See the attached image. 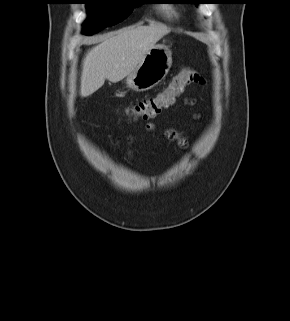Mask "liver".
<instances>
[{
	"instance_id": "1",
	"label": "liver",
	"mask_w": 290,
	"mask_h": 321,
	"mask_svg": "<svg viewBox=\"0 0 290 321\" xmlns=\"http://www.w3.org/2000/svg\"><path fill=\"white\" fill-rule=\"evenodd\" d=\"M170 30L159 24L126 28L105 37L91 48L82 63L80 95L87 97L105 80L121 81L132 73L146 54Z\"/></svg>"
}]
</instances>
